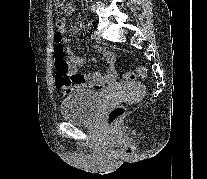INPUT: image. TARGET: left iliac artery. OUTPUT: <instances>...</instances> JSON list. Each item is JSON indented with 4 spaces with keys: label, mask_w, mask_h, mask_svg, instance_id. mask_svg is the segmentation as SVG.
Instances as JSON below:
<instances>
[{
    "label": "left iliac artery",
    "mask_w": 207,
    "mask_h": 179,
    "mask_svg": "<svg viewBox=\"0 0 207 179\" xmlns=\"http://www.w3.org/2000/svg\"><path fill=\"white\" fill-rule=\"evenodd\" d=\"M86 28H87V29H90V28H91V23H90V22H87V23H86Z\"/></svg>",
    "instance_id": "left-iliac-artery-1"
}]
</instances>
